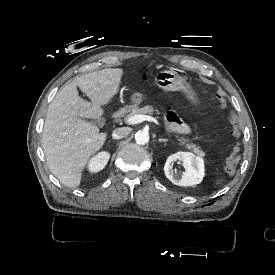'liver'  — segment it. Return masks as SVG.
Returning <instances> with one entry per match:
<instances>
[{
	"instance_id": "6515ba94",
	"label": "liver",
	"mask_w": 275,
	"mask_h": 275,
	"mask_svg": "<svg viewBox=\"0 0 275 275\" xmlns=\"http://www.w3.org/2000/svg\"><path fill=\"white\" fill-rule=\"evenodd\" d=\"M124 69H103L76 77L48 107L42 133L50 171L65 186H80L83 172L103 148L108 134L86 119H101L119 93ZM91 99L80 98L77 87Z\"/></svg>"
}]
</instances>
